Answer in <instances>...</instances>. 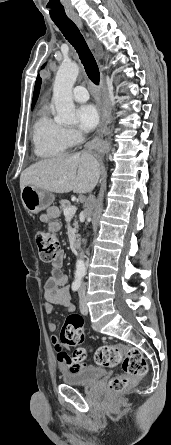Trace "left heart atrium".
<instances>
[{
  "instance_id": "39dd6f15",
  "label": "left heart atrium",
  "mask_w": 171,
  "mask_h": 445,
  "mask_svg": "<svg viewBox=\"0 0 171 445\" xmlns=\"http://www.w3.org/2000/svg\"><path fill=\"white\" fill-rule=\"evenodd\" d=\"M79 127L83 131H90L95 128L99 122V113L92 104H85L77 110Z\"/></svg>"
}]
</instances>
